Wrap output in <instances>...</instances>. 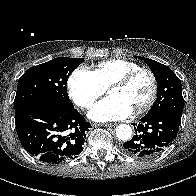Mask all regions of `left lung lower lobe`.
<instances>
[{
    "instance_id": "left-lung-lower-lobe-1",
    "label": "left lung lower lobe",
    "mask_w": 196,
    "mask_h": 196,
    "mask_svg": "<svg viewBox=\"0 0 196 196\" xmlns=\"http://www.w3.org/2000/svg\"><path fill=\"white\" fill-rule=\"evenodd\" d=\"M181 116L167 111L147 113L138 123H133L136 134L123 144V151L135 157H153L160 154L176 138Z\"/></svg>"
}]
</instances>
